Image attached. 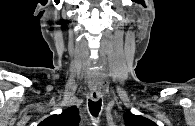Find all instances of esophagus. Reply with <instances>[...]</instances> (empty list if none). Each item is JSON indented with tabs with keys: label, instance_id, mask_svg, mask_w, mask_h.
<instances>
[{
	"label": "esophagus",
	"instance_id": "esophagus-1",
	"mask_svg": "<svg viewBox=\"0 0 195 126\" xmlns=\"http://www.w3.org/2000/svg\"><path fill=\"white\" fill-rule=\"evenodd\" d=\"M90 97L93 101H98L102 97V90L98 87H92L90 89Z\"/></svg>",
	"mask_w": 195,
	"mask_h": 126
}]
</instances>
